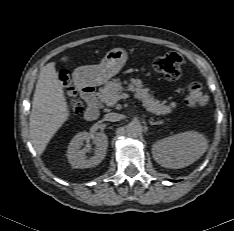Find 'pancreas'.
Segmentation results:
<instances>
[{
    "label": "pancreas",
    "instance_id": "1",
    "mask_svg": "<svg viewBox=\"0 0 234 231\" xmlns=\"http://www.w3.org/2000/svg\"><path fill=\"white\" fill-rule=\"evenodd\" d=\"M127 89L135 92V97L140 100L147 111L156 115H166L176 107L175 102H171L166 105L165 102H160L156 100L149 89L143 88V84L139 79H131L127 86ZM123 90L122 83L120 79H113L107 82L104 87L99 89L98 98L101 102L108 106H113L114 104H109L113 99H117Z\"/></svg>",
    "mask_w": 234,
    "mask_h": 231
}]
</instances>
